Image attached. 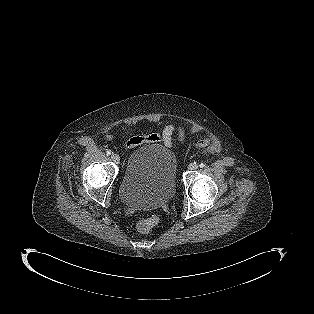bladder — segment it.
I'll return each instance as SVG.
<instances>
[{
    "mask_svg": "<svg viewBox=\"0 0 314 314\" xmlns=\"http://www.w3.org/2000/svg\"><path fill=\"white\" fill-rule=\"evenodd\" d=\"M177 162L174 153L159 145H147L129 156L120 184L122 202L134 208H157L176 192Z\"/></svg>",
    "mask_w": 314,
    "mask_h": 314,
    "instance_id": "obj_1",
    "label": "bladder"
}]
</instances>
